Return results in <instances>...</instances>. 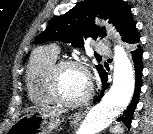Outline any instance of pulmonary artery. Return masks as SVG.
I'll use <instances>...</instances> for the list:
<instances>
[{
  "instance_id": "pulmonary-artery-1",
  "label": "pulmonary artery",
  "mask_w": 153,
  "mask_h": 134,
  "mask_svg": "<svg viewBox=\"0 0 153 134\" xmlns=\"http://www.w3.org/2000/svg\"><path fill=\"white\" fill-rule=\"evenodd\" d=\"M95 50L98 52V53H106L107 52V47L105 44L101 43V42H98L96 43L95 45Z\"/></svg>"
}]
</instances>
